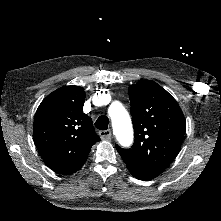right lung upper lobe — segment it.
<instances>
[{
	"instance_id": "cb5924a9",
	"label": "right lung upper lobe",
	"mask_w": 221,
	"mask_h": 221,
	"mask_svg": "<svg viewBox=\"0 0 221 221\" xmlns=\"http://www.w3.org/2000/svg\"><path fill=\"white\" fill-rule=\"evenodd\" d=\"M84 100L83 88L65 86L49 94L36 111L34 143L45 164L57 173L79 170L100 140L92 119L83 113Z\"/></svg>"
}]
</instances>
